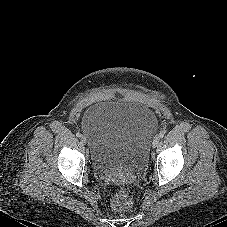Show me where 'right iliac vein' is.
I'll return each mask as SVG.
<instances>
[{
	"label": "right iliac vein",
	"mask_w": 227,
	"mask_h": 227,
	"mask_svg": "<svg viewBox=\"0 0 227 227\" xmlns=\"http://www.w3.org/2000/svg\"><path fill=\"white\" fill-rule=\"evenodd\" d=\"M81 142H82V144H86L87 143V139H86L85 136L81 137Z\"/></svg>",
	"instance_id": "obj_1"
}]
</instances>
